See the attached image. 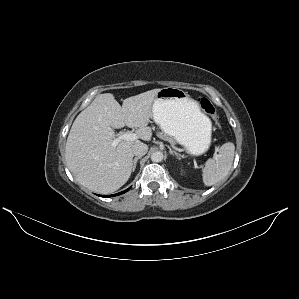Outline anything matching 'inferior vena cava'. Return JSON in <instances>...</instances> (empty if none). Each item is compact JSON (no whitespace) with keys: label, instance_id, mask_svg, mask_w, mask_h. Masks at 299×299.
<instances>
[{"label":"inferior vena cava","instance_id":"obj_1","mask_svg":"<svg viewBox=\"0 0 299 299\" xmlns=\"http://www.w3.org/2000/svg\"><path fill=\"white\" fill-rule=\"evenodd\" d=\"M148 146L144 143H140L133 148V154L135 156H143L147 153Z\"/></svg>","mask_w":299,"mask_h":299}]
</instances>
